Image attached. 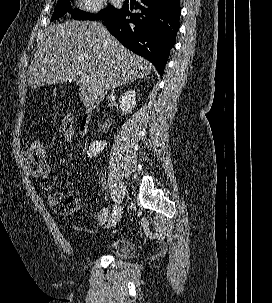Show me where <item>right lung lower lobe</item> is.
I'll return each instance as SVG.
<instances>
[{
  "label": "right lung lower lobe",
  "mask_w": 272,
  "mask_h": 303,
  "mask_svg": "<svg viewBox=\"0 0 272 303\" xmlns=\"http://www.w3.org/2000/svg\"><path fill=\"white\" fill-rule=\"evenodd\" d=\"M135 9L141 12L130 14L129 7L123 6L117 14L103 19V24L125 47L152 62L162 75L179 30V0H140Z\"/></svg>",
  "instance_id": "right-lung-lower-lobe-1"
}]
</instances>
